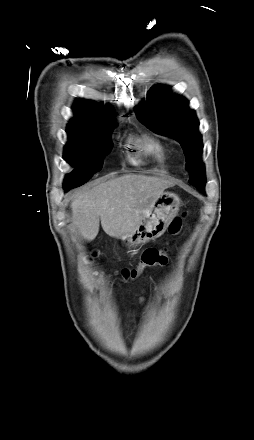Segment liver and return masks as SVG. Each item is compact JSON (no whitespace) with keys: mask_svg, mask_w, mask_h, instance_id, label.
<instances>
[{"mask_svg":"<svg viewBox=\"0 0 254 440\" xmlns=\"http://www.w3.org/2000/svg\"><path fill=\"white\" fill-rule=\"evenodd\" d=\"M171 185L168 180L140 174L100 183L71 202L72 225L83 239L92 241L101 221L107 235L122 239L134 233L155 199Z\"/></svg>","mask_w":254,"mask_h":440,"instance_id":"1","label":"liver"}]
</instances>
